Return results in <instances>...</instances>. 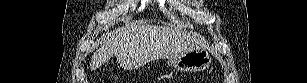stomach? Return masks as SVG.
<instances>
[{
    "label": "stomach",
    "instance_id": "obj_1",
    "mask_svg": "<svg viewBox=\"0 0 307 83\" xmlns=\"http://www.w3.org/2000/svg\"><path fill=\"white\" fill-rule=\"evenodd\" d=\"M212 60L207 50L194 48L180 53L177 57L168 59L167 65L182 72H197L207 69Z\"/></svg>",
    "mask_w": 307,
    "mask_h": 83
}]
</instances>
